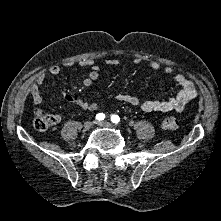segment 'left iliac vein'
<instances>
[{
  "label": "left iliac vein",
  "instance_id": "obj_1",
  "mask_svg": "<svg viewBox=\"0 0 221 221\" xmlns=\"http://www.w3.org/2000/svg\"><path fill=\"white\" fill-rule=\"evenodd\" d=\"M96 124L102 127L113 128L114 126L107 121H97Z\"/></svg>",
  "mask_w": 221,
  "mask_h": 221
}]
</instances>
